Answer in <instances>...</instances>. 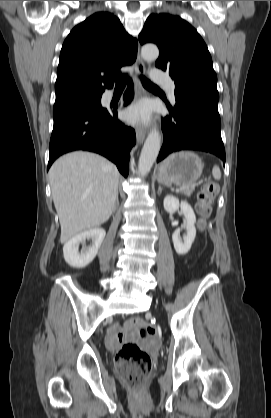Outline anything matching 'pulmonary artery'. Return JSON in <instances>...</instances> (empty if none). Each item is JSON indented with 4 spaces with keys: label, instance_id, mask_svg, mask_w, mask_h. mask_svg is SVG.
I'll use <instances>...</instances> for the list:
<instances>
[{
    "label": "pulmonary artery",
    "instance_id": "1",
    "mask_svg": "<svg viewBox=\"0 0 271 418\" xmlns=\"http://www.w3.org/2000/svg\"><path fill=\"white\" fill-rule=\"evenodd\" d=\"M153 80L159 84L165 86L169 96L172 100L175 98V84L174 81L166 74L160 73L159 71L153 72Z\"/></svg>",
    "mask_w": 271,
    "mask_h": 418
}]
</instances>
